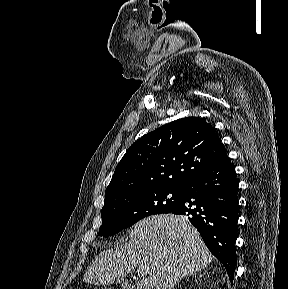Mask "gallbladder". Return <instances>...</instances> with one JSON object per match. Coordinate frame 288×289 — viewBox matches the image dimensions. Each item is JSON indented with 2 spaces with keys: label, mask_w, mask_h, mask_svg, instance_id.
<instances>
[{
  "label": "gallbladder",
  "mask_w": 288,
  "mask_h": 289,
  "mask_svg": "<svg viewBox=\"0 0 288 289\" xmlns=\"http://www.w3.org/2000/svg\"><path fill=\"white\" fill-rule=\"evenodd\" d=\"M117 282L120 283L121 285L127 284V282L124 279H118Z\"/></svg>",
  "instance_id": "bac80fb5"
}]
</instances>
